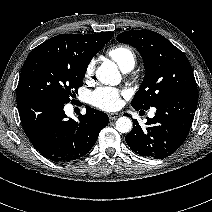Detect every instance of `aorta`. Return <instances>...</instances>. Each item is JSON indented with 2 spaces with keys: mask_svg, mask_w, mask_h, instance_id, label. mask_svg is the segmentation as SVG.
Masks as SVG:
<instances>
[{
  "mask_svg": "<svg viewBox=\"0 0 212 212\" xmlns=\"http://www.w3.org/2000/svg\"><path fill=\"white\" fill-rule=\"evenodd\" d=\"M97 79L103 84H113L120 81V74L113 63H103L96 71ZM116 129L120 133H128L132 129V121L123 116L116 121Z\"/></svg>",
  "mask_w": 212,
  "mask_h": 212,
  "instance_id": "1",
  "label": "aorta"
}]
</instances>
